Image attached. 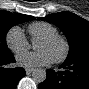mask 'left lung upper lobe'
Returning a JSON list of instances; mask_svg holds the SVG:
<instances>
[{"label":"left lung upper lobe","mask_w":89,"mask_h":89,"mask_svg":"<svg viewBox=\"0 0 89 89\" xmlns=\"http://www.w3.org/2000/svg\"><path fill=\"white\" fill-rule=\"evenodd\" d=\"M40 20L48 21L58 26L65 34L69 43V54L65 61L74 60L83 55H89V22L71 12L50 14Z\"/></svg>","instance_id":"5c2ea615"}]
</instances>
